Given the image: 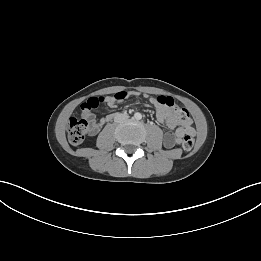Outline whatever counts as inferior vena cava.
<instances>
[{
  "label": "inferior vena cava",
  "mask_w": 261,
  "mask_h": 261,
  "mask_svg": "<svg viewBox=\"0 0 261 261\" xmlns=\"http://www.w3.org/2000/svg\"><path fill=\"white\" fill-rule=\"evenodd\" d=\"M127 118H128L127 115H121L118 120H119V121H120V120H125V119H127Z\"/></svg>",
  "instance_id": "602c4592"
}]
</instances>
